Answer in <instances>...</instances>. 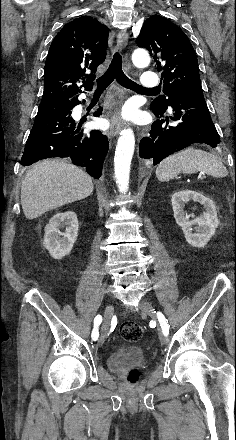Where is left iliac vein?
Returning a JSON list of instances; mask_svg holds the SVG:
<instances>
[{
	"label": "left iliac vein",
	"instance_id": "obj_1",
	"mask_svg": "<svg viewBox=\"0 0 236 440\" xmlns=\"http://www.w3.org/2000/svg\"><path fill=\"white\" fill-rule=\"evenodd\" d=\"M140 310L143 314L149 315L152 319L156 320L157 316L154 310V307L152 304L148 301H141L140 303ZM159 340L162 345L166 343V336L163 334L161 330H159Z\"/></svg>",
	"mask_w": 236,
	"mask_h": 440
}]
</instances>
